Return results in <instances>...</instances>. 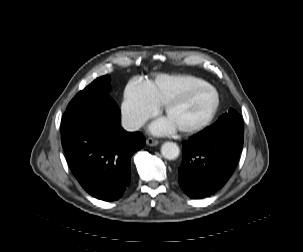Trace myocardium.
<instances>
[{
    "instance_id": "myocardium-1",
    "label": "myocardium",
    "mask_w": 303,
    "mask_h": 252,
    "mask_svg": "<svg viewBox=\"0 0 303 252\" xmlns=\"http://www.w3.org/2000/svg\"><path fill=\"white\" fill-rule=\"evenodd\" d=\"M201 88H207L212 92L213 102L210 107V110L206 115V117L200 123L193 126L178 127L177 130L182 134H192L198 132L204 129L205 127H207L211 123L219 106V96L216 89L211 84L202 82L198 84L196 87H194L187 94H185L183 97L177 100L169 101L163 107V113L166 116L174 106L184 103L192 95V93H194L196 90Z\"/></svg>"
}]
</instances>
